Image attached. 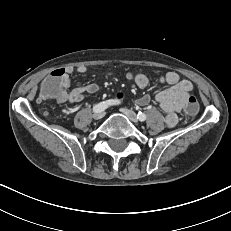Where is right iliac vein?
<instances>
[{"label": "right iliac vein", "instance_id": "right-iliac-vein-1", "mask_svg": "<svg viewBox=\"0 0 231 231\" xmlns=\"http://www.w3.org/2000/svg\"><path fill=\"white\" fill-rule=\"evenodd\" d=\"M103 116H104V112H95V113L93 114V118H94L95 120H99V119L103 118Z\"/></svg>", "mask_w": 231, "mask_h": 231}]
</instances>
